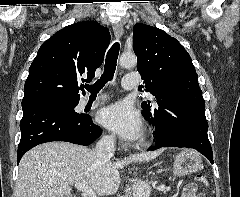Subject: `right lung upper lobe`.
<instances>
[{
  "label": "right lung upper lobe",
  "mask_w": 240,
  "mask_h": 197,
  "mask_svg": "<svg viewBox=\"0 0 240 197\" xmlns=\"http://www.w3.org/2000/svg\"><path fill=\"white\" fill-rule=\"evenodd\" d=\"M110 39L109 30L94 21L74 23L56 32L41 45L29 68L22 107L79 101L80 83L94 78Z\"/></svg>",
  "instance_id": "right-lung-upper-lobe-1"
}]
</instances>
